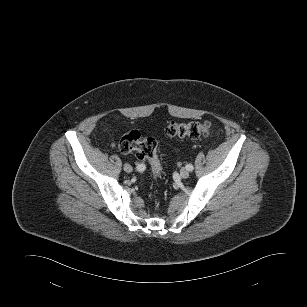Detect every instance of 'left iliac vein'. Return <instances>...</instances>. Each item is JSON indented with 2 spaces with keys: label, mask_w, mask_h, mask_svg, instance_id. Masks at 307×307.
Segmentation results:
<instances>
[{
  "label": "left iliac vein",
  "mask_w": 307,
  "mask_h": 307,
  "mask_svg": "<svg viewBox=\"0 0 307 307\" xmlns=\"http://www.w3.org/2000/svg\"><path fill=\"white\" fill-rule=\"evenodd\" d=\"M180 176H181L183 179L188 178V177H189V170H188L186 167L181 168V170H180Z\"/></svg>",
  "instance_id": "obj_1"
}]
</instances>
